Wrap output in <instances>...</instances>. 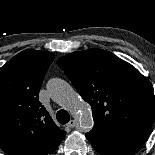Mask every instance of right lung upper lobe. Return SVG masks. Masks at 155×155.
<instances>
[{
	"label": "right lung upper lobe",
	"instance_id": "right-lung-upper-lobe-1",
	"mask_svg": "<svg viewBox=\"0 0 155 155\" xmlns=\"http://www.w3.org/2000/svg\"><path fill=\"white\" fill-rule=\"evenodd\" d=\"M54 57L28 49L0 68V148L7 155H49L66 135L38 99Z\"/></svg>",
	"mask_w": 155,
	"mask_h": 155
}]
</instances>
